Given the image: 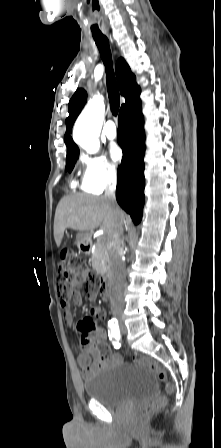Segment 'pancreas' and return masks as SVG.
Returning <instances> with one entry per match:
<instances>
[{
  "instance_id": "obj_1",
  "label": "pancreas",
  "mask_w": 221,
  "mask_h": 448,
  "mask_svg": "<svg viewBox=\"0 0 221 448\" xmlns=\"http://www.w3.org/2000/svg\"><path fill=\"white\" fill-rule=\"evenodd\" d=\"M92 267L98 272L103 273L107 269L109 255L108 247L103 240H98L92 253Z\"/></svg>"
}]
</instances>
